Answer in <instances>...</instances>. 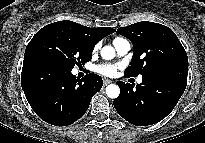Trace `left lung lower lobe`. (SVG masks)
Returning a JSON list of instances; mask_svg holds the SVG:
<instances>
[{"label":"left lung lower lobe","instance_id":"0a47b994","mask_svg":"<svg viewBox=\"0 0 205 143\" xmlns=\"http://www.w3.org/2000/svg\"><path fill=\"white\" fill-rule=\"evenodd\" d=\"M188 64L180 62L155 67L142 76L133 89L129 83L117 82L120 95L113 104L117 113L136 126L155 124L175 107L187 84Z\"/></svg>","mask_w":205,"mask_h":143}]
</instances>
